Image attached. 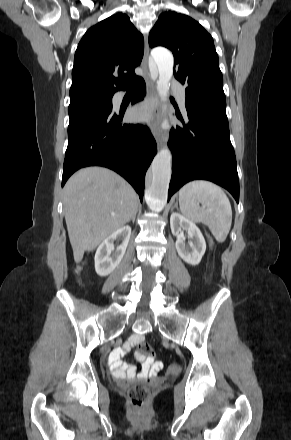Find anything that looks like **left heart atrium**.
Instances as JSON below:
<instances>
[{
	"instance_id": "left-heart-atrium-1",
	"label": "left heart atrium",
	"mask_w": 291,
	"mask_h": 440,
	"mask_svg": "<svg viewBox=\"0 0 291 440\" xmlns=\"http://www.w3.org/2000/svg\"><path fill=\"white\" fill-rule=\"evenodd\" d=\"M149 115L148 107H141L138 109H133L130 112V117L134 120H143L146 119Z\"/></svg>"
}]
</instances>
